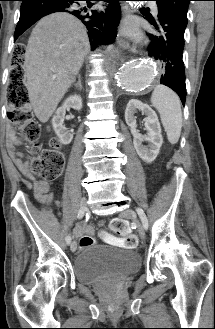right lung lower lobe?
<instances>
[{"label": "right lung lower lobe", "instance_id": "right-lung-lower-lobe-1", "mask_svg": "<svg viewBox=\"0 0 215 329\" xmlns=\"http://www.w3.org/2000/svg\"><path fill=\"white\" fill-rule=\"evenodd\" d=\"M20 18L14 33L16 40L40 18L55 12H68L86 26L92 49L99 44H110L116 37V27L121 17L120 0H21ZM86 1L87 5H82ZM91 1H105L107 9H91Z\"/></svg>", "mask_w": 215, "mask_h": 329}]
</instances>
